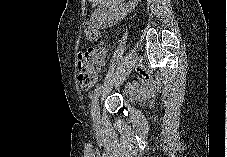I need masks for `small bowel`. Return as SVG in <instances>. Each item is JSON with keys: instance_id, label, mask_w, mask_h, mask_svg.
Instances as JSON below:
<instances>
[{"instance_id": "obj_1", "label": "small bowel", "mask_w": 227, "mask_h": 157, "mask_svg": "<svg viewBox=\"0 0 227 157\" xmlns=\"http://www.w3.org/2000/svg\"><path fill=\"white\" fill-rule=\"evenodd\" d=\"M103 64L104 63L102 61L100 63L97 73H100L102 71ZM138 75L141 80V84L133 83L132 85L126 88L125 92L128 94H133L138 99L143 100V99L149 98L153 94L155 87H154V84L150 81L148 75L144 71L139 70Z\"/></svg>"}]
</instances>
